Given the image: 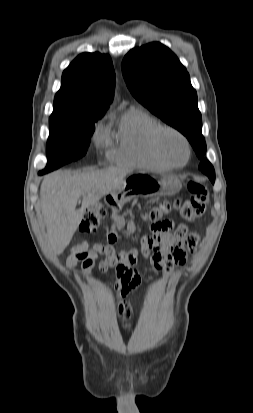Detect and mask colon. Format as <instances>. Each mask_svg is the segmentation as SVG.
<instances>
[{"label":"colon","instance_id":"1","mask_svg":"<svg viewBox=\"0 0 253 413\" xmlns=\"http://www.w3.org/2000/svg\"><path fill=\"white\" fill-rule=\"evenodd\" d=\"M188 189L191 194L188 199L176 203L164 202L150 211L149 218L157 224L163 214L172 210H177L181 217L188 221L201 218L209 203L208 189L204 184L196 181H191L188 184ZM105 216L106 210L99 204L88 208L80 223V230L87 233L92 232Z\"/></svg>","mask_w":253,"mask_h":413}]
</instances>
